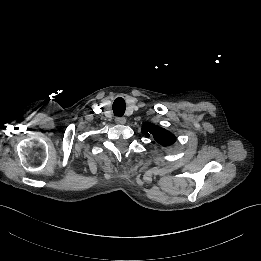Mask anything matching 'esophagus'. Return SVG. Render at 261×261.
I'll use <instances>...</instances> for the list:
<instances>
[{"label":"esophagus","instance_id":"esophagus-1","mask_svg":"<svg viewBox=\"0 0 261 261\" xmlns=\"http://www.w3.org/2000/svg\"><path fill=\"white\" fill-rule=\"evenodd\" d=\"M115 123L119 125H123L126 123V118L125 117H117L115 118Z\"/></svg>","mask_w":261,"mask_h":261}]
</instances>
